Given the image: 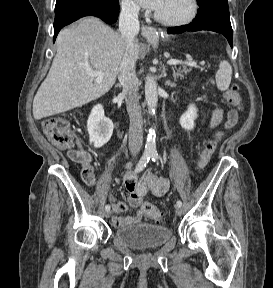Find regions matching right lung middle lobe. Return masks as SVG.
I'll use <instances>...</instances> for the list:
<instances>
[{
	"mask_svg": "<svg viewBox=\"0 0 273 288\" xmlns=\"http://www.w3.org/2000/svg\"><path fill=\"white\" fill-rule=\"evenodd\" d=\"M92 4L110 9L117 8L119 5L118 0H57L55 11L62 7L86 6Z\"/></svg>",
	"mask_w": 273,
	"mask_h": 288,
	"instance_id": "right-lung-middle-lobe-1",
	"label": "right lung middle lobe"
}]
</instances>
